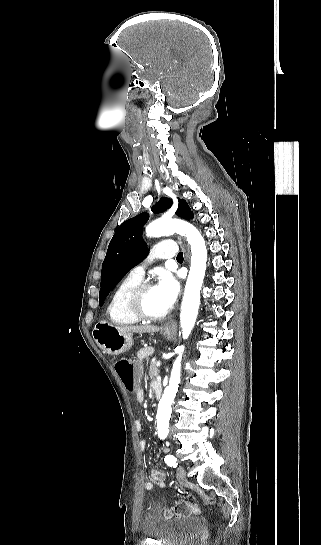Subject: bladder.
Here are the masks:
<instances>
[{"instance_id":"31cf9c89","label":"bladder","mask_w":321,"mask_h":545,"mask_svg":"<svg viewBox=\"0 0 321 545\" xmlns=\"http://www.w3.org/2000/svg\"><path fill=\"white\" fill-rule=\"evenodd\" d=\"M200 526L196 516H171L163 506L149 509L143 519L144 535L161 545H185L194 536Z\"/></svg>"}]
</instances>
